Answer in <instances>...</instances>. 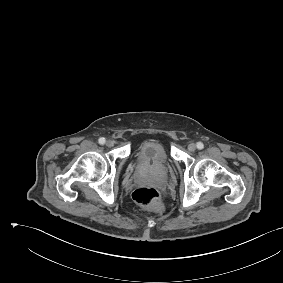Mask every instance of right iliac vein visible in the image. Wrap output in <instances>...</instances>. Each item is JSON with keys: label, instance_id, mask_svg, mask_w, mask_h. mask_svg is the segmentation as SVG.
<instances>
[{"label": "right iliac vein", "instance_id": "obj_1", "mask_svg": "<svg viewBox=\"0 0 283 283\" xmlns=\"http://www.w3.org/2000/svg\"><path fill=\"white\" fill-rule=\"evenodd\" d=\"M106 146H107V147H113V146H114V142H113L112 140H108V141L106 142Z\"/></svg>", "mask_w": 283, "mask_h": 283}]
</instances>
